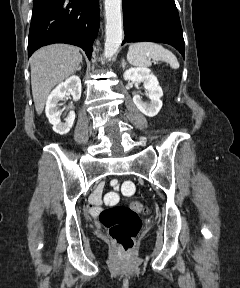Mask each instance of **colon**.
<instances>
[{
    "label": "colon",
    "instance_id": "colon-1",
    "mask_svg": "<svg viewBox=\"0 0 240 288\" xmlns=\"http://www.w3.org/2000/svg\"><path fill=\"white\" fill-rule=\"evenodd\" d=\"M133 185L126 183L124 191L132 192ZM145 207L139 201H131L128 205H118L104 209L99 214V221L107 230L114 244L124 253L133 250L136 238L141 230L140 214Z\"/></svg>",
    "mask_w": 240,
    "mask_h": 288
}]
</instances>
